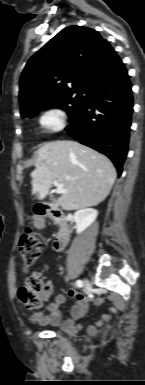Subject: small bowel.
Returning a JSON list of instances; mask_svg holds the SVG:
<instances>
[{"label":"small bowel","instance_id":"c3829d8e","mask_svg":"<svg viewBox=\"0 0 145 385\" xmlns=\"http://www.w3.org/2000/svg\"><path fill=\"white\" fill-rule=\"evenodd\" d=\"M52 292L53 284L51 281H47L42 298L48 303L43 311L32 314L30 316V321L40 325L58 327L62 332L70 336H75L82 329V326L78 322L85 317L89 303L96 306L104 303L103 298L86 297L75 292L74 290H67L66 292L60 293L55 297L54 301L49 302ZM70 297H74L76 299V303L71 308V317L66 320H62V313L59 307ZM110 320V316L104 315L101 319L89 323L85 328L86 334L90 337L96 336L98 328L103 323L109 322Z\"/></svg>","mask_w":145,"mask_h":385}]
</instances>
